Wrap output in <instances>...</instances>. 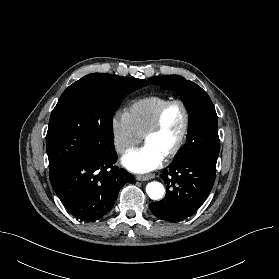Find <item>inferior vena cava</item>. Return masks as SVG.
Returning a JSON list of instances; mask_svg holds the SVG:
<instances>
[{
	"instance_id": "1",
	"label": "inferior vena cava",
	"mask_w": 279,
	"mask_h": 279,
	"mask_svg": "<svg viewBox=\"0 0 279 279\" xmlns=\"http://www.w3.org/2000/svg\"><path fill=\"white\" fill-rule=\"evenodd\" d=\"M126 145H119L118 146V151L120 152V153H123L125 150H126Z\"/></svg>"
}]
</instances>
